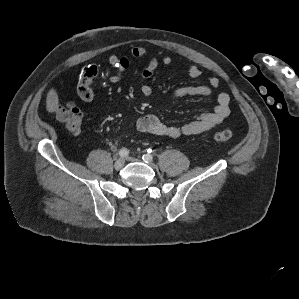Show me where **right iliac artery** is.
Returning <instances> with one entry per match:
<instances>
[{"label": "right iliac artery", "mask_w": 299, "mask_h": 299, "mask_svg": "<svg viewBox=\"0 0 299 299\" xmlns=\"http://www.w3.org/2000/svg\"><path fill=\"white\" fill-rule=\"evenodd\" d=\"M129 155V151L126 148H123L119 151V156L121 158H126Z\"/></svg>", "instance_id": "1"}]
</instances>
